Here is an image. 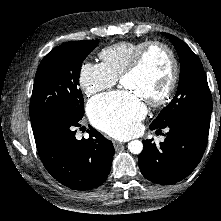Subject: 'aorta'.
Segmentation results:
<instances>
[{"mask_svg": "<svg viewBox=\"0 0 221 221\" xmlns=\"http://www.w3.org/2000/svg\"><path fill=\"white\" fill-rule=\"evenodd\" d=\"M128 150L133 154H140L143 150V143L139 140H133L128 143Z\"/></svg>", "mask_w": 221, "mask_h": 221, "instance_id": "aorta-1", "label": "aorta"}]
</instances>
